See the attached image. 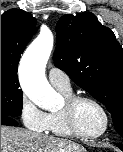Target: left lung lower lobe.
Wrapping results in <instances>:
<instances>
[{"mask_svg": "<svg viewBox=\"0 0 123 152\" xmlns=\"http://www.w3.org/2000/svg\"><path fill=\"white\" fill-rule=\"evenodd\" d=\"M122 151H123V145L121 144H116Z\"/></svg>", "mask_w": 123, "mask_h": 152, "instance_id": "1", "label": "left lung lower lobe"}]
</instances>
